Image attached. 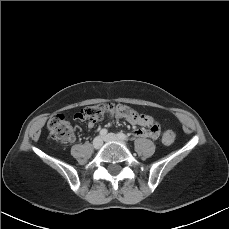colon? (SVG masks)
<instances>
[{
  "instance_id": "5ec220e1",
  "label": "colon",
  "mask_w": 229,
  "mask_h": 229,
  "mask_svg": "<svg viewBox=\"0 0 229 229\" xmlns=\"http://www.w3.org/2000/svg\"><path fill=\"white\" fill-rule=\"evenodd\" d=\"M115 113L120 116L135 117L137 111L128 104L105 103L85 107L81 109L77 117L87 121H98L107 114ZM47 128L52 140L65 142L73 137L74 128L71 123L61 113H56L48 121ZM176 140V134L172 130H167L162 136V141L166 145H171Z\"/></svg>"
}]
</instances>
